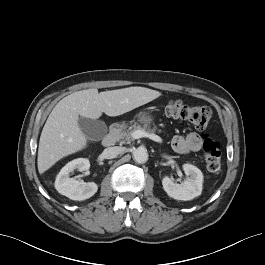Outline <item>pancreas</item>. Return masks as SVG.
Returning a JSON list of instances; mask_svg holds the SVG:
<instances>
[{"label": "pancreas", "mask_w": 265, "mask_h": 265, "mask_svg": "<svg viewBox=\"0 0 265 265\" xmlns=\"http://www.w3.org/2000/svg\"><path fill=\"white\" fill-rule=\"evenodd\" d=\"M136 130H143L148 133H154L156 131L155 128L150 129L149 127H142L141 125L135 123L131 125L128 129L119 130L115 134V140L118 141L120 144H129L133 139L132 133Z\"/></svg>", "instance_id": "cf45deb5"}]
</instances>
